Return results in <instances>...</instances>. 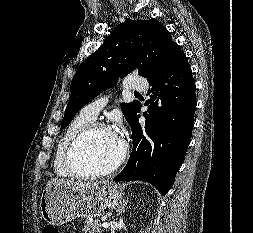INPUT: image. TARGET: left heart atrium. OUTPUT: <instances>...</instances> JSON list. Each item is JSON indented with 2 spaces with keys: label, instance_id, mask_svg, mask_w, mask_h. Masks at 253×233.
<instances>
[{
  "label": "left heart atrium",
  "instance_id": "1",
  "mask_svg": "<svg viewBox=\"0 0 253 233\" xmlns=\"http://www.w3.org/2000/svg\"><path fill=\"white\" fill-rule=\"evenodd\" d=\"M110 130L113 132V134H114L117 138L123 140V139H122V138H123L122 126H121L120 124H117L116 126H114L113 128H111Z\"/></svg>",
  "mask_w": 253,
  "mask_h": 233
}]
</instances>
